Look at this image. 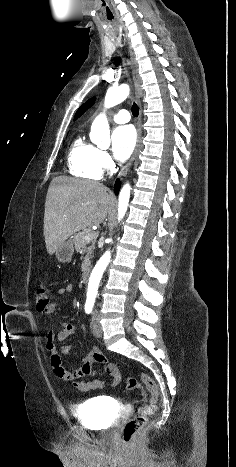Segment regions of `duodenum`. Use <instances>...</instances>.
<instances>
[{"instance_id": "410a0bca", "label": "duodenum", "mask_w": 236, "mask_h": 467, "mask_svg": "<svg viewBox=\"0 0 236 467\" xmlns=\"http://www.w3.org/2000/svg\"><path fill=\"white\" fill-rule=\"evenodd\" d=\"M89 274H90V268L89 267H85L82 271V274H81V281L83 283H86L89 279Z\"/></svg>"}]
</instances>
